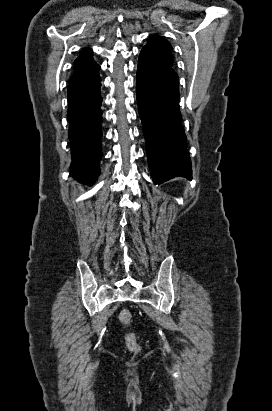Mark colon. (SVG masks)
I'll return each instance as SVG.
<instances>
[{
  "mask_svg": "<svg viewBox=\"0 0 272 411\" xmlns=\"http://www.w3.org/2000/svg\"><path fill=\"white\" fill-rule=\"evenodd\" d=\"M119 319H120V322L125 326H129L132 323V315L127 310L122 311L120 313ZM125 344H126L127 348L135 354L139 353L140 350H141V346H140L139 342L137 341V337L132 332L127 333L125 335Z\"/></svg>",
  "mask_w": 272,
  "mask_h": 411,
  "instance_id": "5ec220e1",
  "label": "colon"
}]
</instances>
